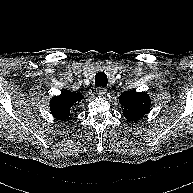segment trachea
Returning a JSON list of instances; mask_svg holds the SVG:
<instances>
[{
    "label": "trachea",
    "mask_w": 193,
    "mask_h": 193,
    "mask_svg": "<svg viewBox=\"0 0 193 193\" xmlns=\"http://www.w3.org/2000/svg\"><path fill=\"white\" fill-rule=\"evenodd\" d=\"M108 83L107 75L104 72H98L95 75V85L106 87Z\"/></svg>",
    "instance_id": "obj_1"
}]
</instances>
